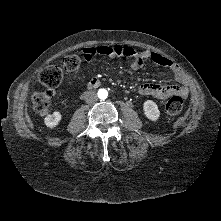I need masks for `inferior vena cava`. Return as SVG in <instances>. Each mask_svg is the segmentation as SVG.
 I'll return each instance as SVG.
<instances>
[{
	"label": "inferior vena cava",
	"mask_w": 221,
	"mask_h": 221,
	"mask_svg": "<svg viewBox=\"0 0 221 221\" xmlns=\"http://www.w3.org/2000/svg\"><path fill=\"white\" fill-rule=\"evenodd\" d=\"M84 100L86 103H95L98 97L95 91H87L84 93Z\"/></svg>",
	"instance_id": "obj_1"
}]
</instances>
